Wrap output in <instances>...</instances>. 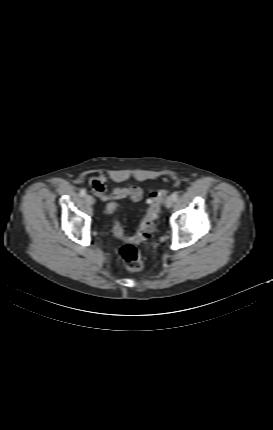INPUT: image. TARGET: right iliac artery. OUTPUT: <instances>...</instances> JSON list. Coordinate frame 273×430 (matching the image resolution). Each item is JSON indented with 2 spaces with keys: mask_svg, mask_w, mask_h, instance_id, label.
Listing matches in <instances>:
<instances>
[{
  "mask_svg": "<svg viewBox=\"0 0 273 430\" xmlns=\"http://www.w3.org/2000/svg\"><path fill=\"white\" fill-rule=\"evenodd\" d=\"M80 196H82V197L86 196V190L85 189L80 190Z\"/></svg>",
  "mask_w": 273,
  "mask_h": 430,
  "instance_id": "82829eb1",
  "label": "right iliac artery"
}]
</instances>
